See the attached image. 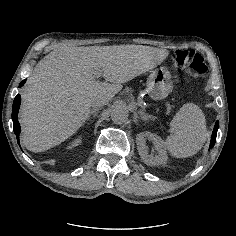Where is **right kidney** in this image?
Instances as JSON below:
<instances>
[{
  "label": "right kidney",
  "mask_w": 236,
  "mask_h": 236,
  "mask_svg": "<svg viewBox=\"0 0 236 236\" xmlns=\"http://www.w3.org/2000/svg\"><path fill=\"white\" fill-rule=\"evenodd\" d=\"M79 142H80V140L77 139V140L73 143V145H74V146H77Z\"/></svg>",
  "instance_id": "obj_1"
}]
</instances>
